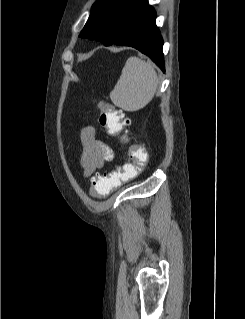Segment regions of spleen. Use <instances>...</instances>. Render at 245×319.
Listing matches in <instances>:
<instances>
[{
    "instance_id": "spleen-1",
    "label": "spleen",
    "mask_w": 245,
    "mask_h": 319,
    "mask_svg": "<svg viewBox=\"0 0 245 319\" xmlns=\"http://www.w3.org/2000/svg\"><path fill=\"white\" fill-rule=\"evenodd\" d=\"M158 84L154 65L132 56L126 61L110 99L115 106L125 111H137L153 99Z\"/></svg>"
}]
</instances>
